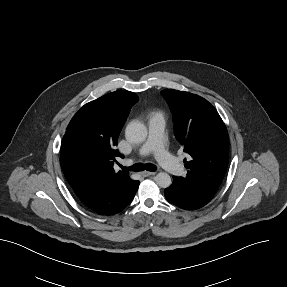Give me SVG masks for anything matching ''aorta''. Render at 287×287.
I'll return each instance as SVG.
<instances>
[{
	"instance_id": "obj_1",
	"label": "aorta",
	"mask_w": 287,
	"mask_h": 287,
	"mask_svg": "<svg viewBox=\"0 0 287 287\" xmlns=\"http://www.w3.org/2000/svg\"><path fill=\"white\" fill-rule=\"evenodd\" d=\"M125 135L126 138L131 142L141 143L145 141L147 137V128L143 123L139 121H133L127 125ZM155 182L161 188H167L172 183L170 175L166 172H159L155 176Z\"/></svg>"
}]
</instances>
